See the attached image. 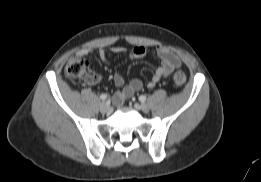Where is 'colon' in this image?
Returning a JSON list of instances; mask_svg holds the SVG:
<instances>
[{"mask_svg":"<svg viewBox=\"0 0 261 182\" xmlns=\"http://www.w3.org/2000/svg\"><path fill=\"white\" fill-rule=\"evenodd\" d=\"M65 74L70 80H88L90 78L88 62L84 58L72 57L66 64ZM173 81L177 86H182L186 82V75L182 71H177L173 75Z\"/></svg>","mask_w":261,"mask_h":182,"instance_id":"obj_1","label":"colon"}]
</instances>
